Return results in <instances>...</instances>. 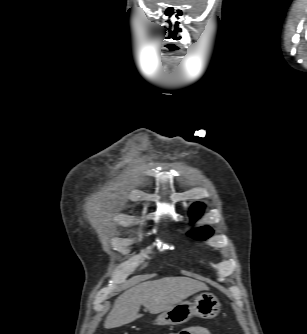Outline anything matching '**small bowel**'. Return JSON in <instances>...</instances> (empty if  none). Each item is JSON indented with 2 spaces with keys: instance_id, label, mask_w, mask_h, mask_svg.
<instances>
[{
  "instance_id": "small-bowel-1",
  "label": "small bowel",
  "mask_w": 307,
  "mask_h": 334,
  "mask_svg": "<svg viewBox=\"0 0 307 334\" xmlns=\"http://www.w3.org/2000/svg\"><path fill=\"white\" fill-rule=\"evenodd\" d=\"M183 334H211L208 328L201 325H195L182 331Z\"/></svg>"
}]
</instances>
